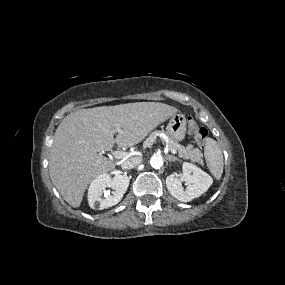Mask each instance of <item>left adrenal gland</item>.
<instances>
[{
	"label": "left adrenal gland",
	"instance_id": "left-adrenal-gland-1",
	"mask_svg": "<svg viewBox=\"0 0 285 285\" xmlns=\"http://www.w3.org/2000/svg\"><path fill=\"white\" fill-rule=\"evenodd\" d=\"M167 159L171 162H173V161H180V159H178V158H176V157H174V156H172V155H168L167 156Z\"/></svg>",
	"mask_w": 285,
	"mask_h": 285
}]
</instances>
